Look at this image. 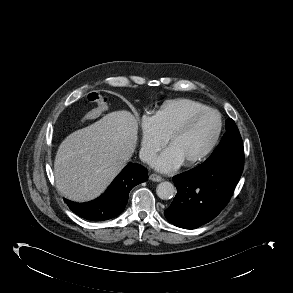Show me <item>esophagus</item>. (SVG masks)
<instances>
[{
	"label": "esophagus",
	"mask_w": 293,
	"mask_h": 293,
	"mask_svg": "<svg viewBox=\"0 0 293 293\" xmlns=\"http://www.w3.org/2000/svg\"><path fill=\"white\" fill-rule=\"evenodd\" d=\"M149 179L154 182H161L162 181V177L157 174H151L149 176Z\"/></svg>",
	"instance_id": "obj_1"
}]
</instances>
